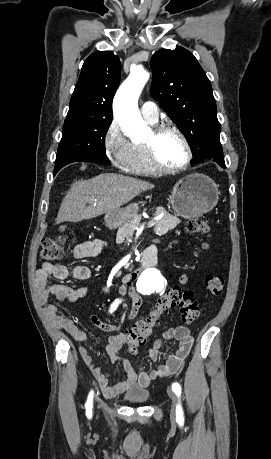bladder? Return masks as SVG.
<instances>
[{
  "label": "bladder",
  "mask_w": 271,
  "mask_h": 459,
  "mask_svg": "<svg viewBox=\"0 0 271 459\" xmlns=\"http://www.w3.org/2000/svg\"><path fill=\"white\" fill-rule=\"evenodd\" d=\"M125 398L129 399L132 404H142L148 401L149 393L145 390H132L125 393Z\"/></svg>",
  "instance_id": "obj_1"
}]
</instances>
